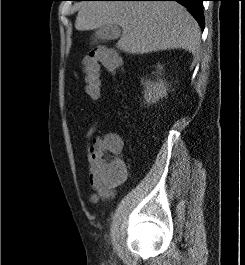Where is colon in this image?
<instances>
[{
  "label": "colon",
  "instance_id": "obj_1",
  "mask_svg": "<svg viewBox=\"0 0 245 265\" xmlns=\"http://www.w3.org/2000/svg\"><path fill=\"white\" fill-rule=\"evenodd\" d=\"M83 64L86 94L90 99L96 100L101 92V66L111 73H117L121 69L122 60L115 51L98 47L84 58ZM122 147L121 138L112 134L94 154V166L109 180L120 179L125 174L124 163L119 158Z\"/></svg>",
  "mask_w": 245,
  "mask_h": 265
}]
</instances>
